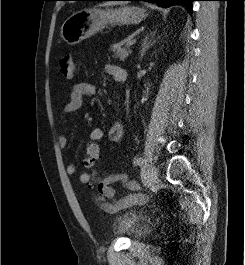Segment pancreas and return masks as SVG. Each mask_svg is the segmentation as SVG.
I'll use <instances>...</instances> for the list:
<instances>
[{"label":"pancreas","instance_id":"1","mask_svg":"<svg viewBox=\"0 0 245 265\" xmlns=\"http://www.w3.org/2000/svg\"><path fill=\"white\" fill-rule=\"evenodd\" d=\"M111 51L114 53L113 57L118 58L120 61H125L131 53L130 47L128 46L123 48H111Z\"/></svg>","mask_w":245,"mask_h":265}]
</instances>
